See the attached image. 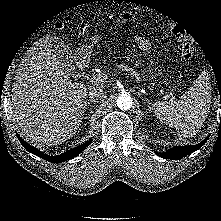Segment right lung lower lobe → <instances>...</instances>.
I'll return each instance as SVG.
<instances>
[{
  "instance_id": "right-lung-lower-lobe-1",
  "label": "right lung lower lobe",
  "mask_w": 221,
  "mask_h": 221,
  "mask_svg": "<svg viewBox=\"0 0 221 221\" xmlns=\"http://www.w3.org/2000/svg\"><path fill=\"white\" fill-rule=\"evenodd\" d=\"M19 141L21 142V144L23 145V147L30 153L40 157V158H43L49 162H52V163H61V162H64L66 160H69L75 156H77L78 154H80L88 145L91 144L92 142V139L73 148V149H70V150H67L65 151L64 153L60 154V155H57V156H49V155H46L44 154L43 152H41L40 150L34 148L33 146L29 145L27 142H25L18 134H16Z\"/></svg>"
}]
</instances>
